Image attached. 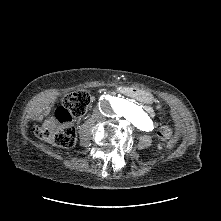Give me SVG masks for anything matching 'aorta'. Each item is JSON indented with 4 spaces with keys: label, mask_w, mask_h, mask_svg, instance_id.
Returning <instances> with one entry per match:
<instances>
[{
    "label": "aorta",
    "mask_w": 221,
    "mask_h": 221,
    "mask_svg": "<svg viewBox=\"0 0 221 221\" xmlns=\"http://www.w3.org/2000/svg\"><path fill=\"white\" fill-rule=\"evenodd\" d=\"M107 110L111 113L116 112L123 116L131 124L141 130H150L151 121L147 114L136 104L122 98H113L110 100Z\"/></svg>",
    "instance_id": "aorta-1"
}]
</instances>
